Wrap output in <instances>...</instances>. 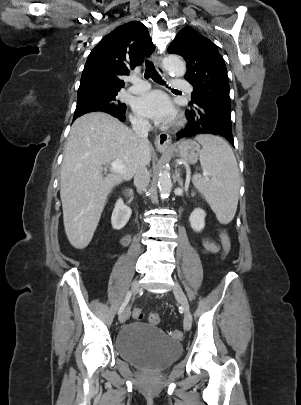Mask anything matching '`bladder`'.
I'll list each match as a JSON object with an SVG mask.
<instances>
[{"label": "bladder", "instance_id": "1", "mask_svg": "<svg viewBox=\"0 0 301 405\" xmlns=\"http://www.w3.org/2000/svg\"><path fill=\"white\" fill-rule=\"evenodd\" d=\"M115 348L122 359L155 370L166 368L181 353L180 343L161 329L139 322L129 323L119 330Z\"/></svg>", "mask_w": 301, "mask_h": 405}]
</instances>
